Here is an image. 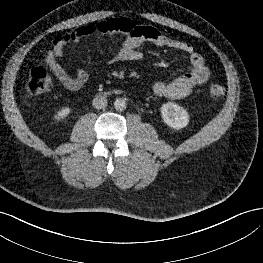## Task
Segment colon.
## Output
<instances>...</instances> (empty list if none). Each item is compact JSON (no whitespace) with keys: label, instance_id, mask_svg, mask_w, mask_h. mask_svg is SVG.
<instances>
[{"label":"colon","instance_id":"colon-1","mask_svg":"<svg viewBox=\"0 0 263 263\" xmlns=\"http://www.w3.org/2000/svg\"><path fill=\"white\" fill-rule=\"evenodd\" d=\"M54 81L50 74L42 67H34L29 72L28 90L33 95H40L53 88ZM224 93V87L218 83L209 86V94L213 98H218Z\"/></svg>","mask_w":263,"mask_h":263}]
</instances>
